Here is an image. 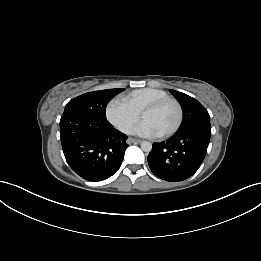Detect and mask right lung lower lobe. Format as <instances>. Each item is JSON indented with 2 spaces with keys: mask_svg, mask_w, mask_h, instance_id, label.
Here are the masks:
<instances>
[{
  "mask_svg": "<svg viewBox=\"0 0 261 261\" xmlns=\"http://www.w3.org/2000/svg\"><path fill=\"white\" fill-rule=\"evenodd\" d=\"M62 149L69 166L82 178L96 182L120 168L127 136L106 119L64 113L60 120Z\"/></svg>",
  "mask_w": 261,
  "mask_h": 261,
  "instance_id": "98d812e1",
  "label": "right lung lower lobe"
}]
</instances>
